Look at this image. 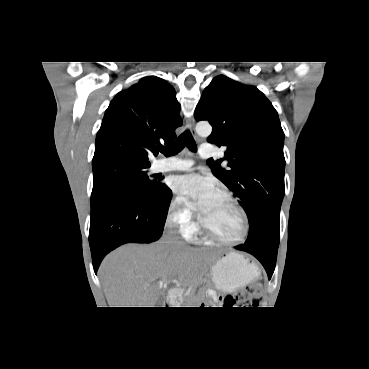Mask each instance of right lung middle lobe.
Instances as JSON below:
<instances>
[{
	"label": "right lung middle lobe",
	"instance_id": "right-lung-middle-lobe-1",
	"mask_svg": "<svg viewBox=\"0 0 369 369\" xmlns=\"http://www.w3.org/2000/svg\"><path fill=\"white\" fill-rule=\"evenodd\" d=\"M149 167L150 165L128 161L93 165L91 204L116 189H129L143 197L160 194L165 189V184L149 178L147 175Z\"/></svg>",
	"mask_w": 369,
	"mask_h": 369
}]
</instances>
